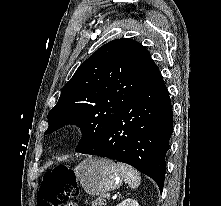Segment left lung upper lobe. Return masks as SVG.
<instances>
[{"label":"left lung upper lobe","mask_w":221,"mask_h":206,"mask_svg":"<svg viewBox=\"0 0 221 206\" xmlns=\"http://www.w3.org/2000/svg\"><path fill=\"white\" fill-rule=\"evenodd\" d=\"M161 76L140 43L121 38L100 47L63 87L47 118L50 134L67 124L81 128L76 152L96 141L120 112Z\"/></svg>","instance_id":"5c2ea615"}]
</instances>
